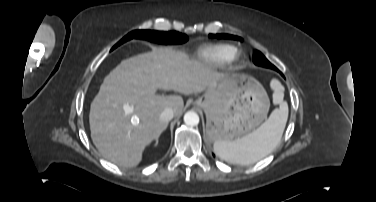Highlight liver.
Returning a JSON list of instances; mask_svg holds the SVG:
<instances>
[{
	"label": "liver",
	"instance_id": "1",
	"mask_svg": "<svg viewBox=\"0 0 376 202\" xmlns=\"http://www.w3.org/2000/svg\"><path fill=\"white\" fill-rule=\"evenodd\" d=\"M222 77L206 63L171 47L123 60L104 78L91 103L94 145L114 164L137 166L145 147L167 128L168 122L160 119L162 111L171 108L176 116L183 111L181 96H160L156 91L201 93Z\"/></svg>",
	"mask_w": 376,
	"mask_h": 202
}]
</instances>
